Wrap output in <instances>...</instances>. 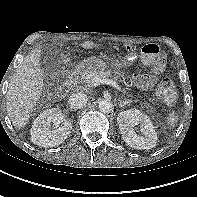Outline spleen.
<instances>
[{"instance_id": "spleen-1", "label": "spleen", "mask_w": 197, "mask_h": 197, "mask_svg": "<svg viewBox=\"0 0 197 197\" xmlns=\"http://www.w3.org/2000/svg\"><path fill=\"white\" fill-rule=\"evenodd\" d=\"M178 119V115L174 111H172L167 117V122L170 125V127H174Z\"/></svg>"}]
</instances>
